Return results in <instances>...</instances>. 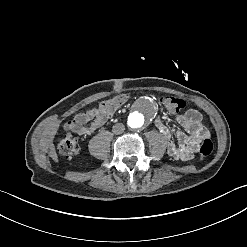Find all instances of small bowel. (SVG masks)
<instances>
[{
	"label": "small bowel",
	"instance_id": "c3829d8e",
	"mask_svg": "<svg viewBox=\"0 0 247 247\" xmlns=\"http://www.w3.org/2000/svg\"><path fill=\"white\" fill-rule=\"evenodd\" d=\"M109 115L100 108H92L77 113L73 119L65 123L64 128L78 135H91L106 123ZM176 120L186 133L173 131L161 118L155 120V126L167 139L168 154L176 159L189 160L199 151L207 129L203 126L202 116L196 109H189Z\"/></svg>",
	"mask_w": 247,
	"mask_h": 247
}]
</instances>
